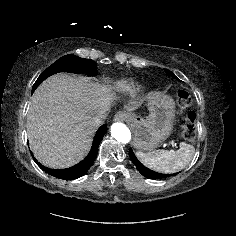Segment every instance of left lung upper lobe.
Returning <instances> with one entry per match:
<instances>
[{
  "instance_id": "left-lung-upper-lobe-1",
  "label": "left lung upper lobe",
  "mask_w": 236,
  "mask_h": 236,
  "mask_svg": "<svg viewBox=\"0 0 236 236\" xmlns=\"http://www.w3.org/2000/svg\"><path fill=\"white\" fill-rule=\"evenodd\" d=\"M166 72L171 75L173 78L178 79L171 71L166 69Z\"/></svg>"
}]
</instances>
